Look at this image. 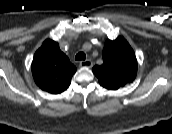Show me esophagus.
<instances>
[{"label":"esophagus","mask_w":172,"mask_h":134,"mask_svg":"<svg viewBox=\"0 0 172 134\" xmlns=\"http://www.w3.org/2000/svg\"><path fill=\"white\" fill-rule=\"evenodd\" d=\"M80 66L81 67H88V68H92L93 67V62L90 59H87L85 61H81L80 62Z\"/></svg>","instance_id":"obj_1"}]
</instances>
